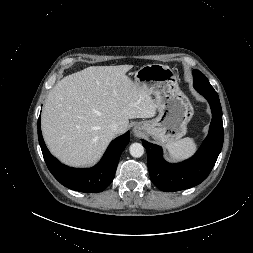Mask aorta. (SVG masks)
Here are the masks:
<instances>
[{
  "label": "aorta",
  "mask_w": 253,
  "mask_h": 253,
  "mask_svg": "<svg viewBox=\"0 0 253 253\" xmlns=\"http://www.w3.org/2000/svg\"><path fill=\"white\" fill-rule=\"evenodd\" d=\"M131 156L139 158L144 154V147L140 143H132L129 147Z\"/></svg>",
  "instance_id": "aorta-1"
}]
</instances>
